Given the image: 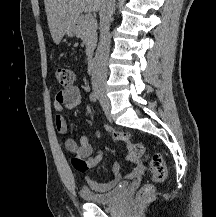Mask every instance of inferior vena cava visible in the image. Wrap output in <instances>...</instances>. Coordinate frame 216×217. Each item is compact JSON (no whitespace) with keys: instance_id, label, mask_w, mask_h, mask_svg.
<instances>
[{"instance_id":"1","label":"inferior vena cava","mask_w":216,"mask_h":217,"mask_svg":"<svg viewBox=\"0 0 216 217\" xmlns=\"http://www.w3.org/2000/svg\"><path fill=\"white\" fill-rule=\"evenodd\" d=\"M115 10V0H104L100 9V39L92 72V86H105L107 80V60L110 49V22Z\"/></svg>"}]
</instances>
